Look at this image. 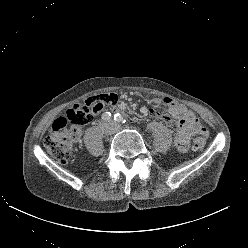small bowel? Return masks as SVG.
<instances>
[{
    "label": "small bowel",
    "instance_id": "small-bowel-1",
    "mask_svg": "<svg viewBox=\"0 0 248 248\" xmlns=\"http://www.w3.org/2000/svg\"><path fill=\"white\" fill-rule=\"evenodd\" d=\"M109 95H112L114 99V103L109 105L124 108V105L119 102L116 94L110 93ZM162 103L167 107L158 109ZM152 104V107H142L140 113L159 118L166 124H171L172 118H174L177 126V133L174 139L175 146L179 151L186 152L189 148L190 137L196 133V127L198 126L195 115L180 102L169 98L163 99L161 96H158L152 100ZM105 105V103H102L97 113L101 112Z\"/></svg>",
    "mask_w": 248,
    "mask_h": 248
}]
</instances>
